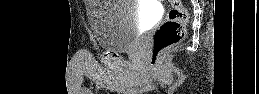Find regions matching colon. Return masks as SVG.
I'll use <instances>...</instances> for the list:
<instances>
[{
	"label": "colon",
	"instance_id": "1",
	"mask_svg": "<svg viewBox=\"0 0 259 94\" xmlns=\"http://www.w3.org/2000/svg\"><path fill=\"white\" fill-rule=\"evenodd\" d=\"M170 9L165 21L155 31L152 39L149 64L155 67L161 53L181 41L186 33L188 11L181 0H169Z\"/></svg>",
	"mask_w": 259,
	"mask_h": 94
}]
</instances>
